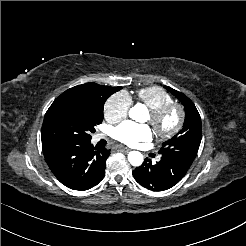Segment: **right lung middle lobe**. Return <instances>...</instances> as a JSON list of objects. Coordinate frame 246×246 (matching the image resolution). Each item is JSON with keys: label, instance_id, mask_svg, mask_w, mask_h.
I'll return each mask as SVG.
<instances>
[{"label": "right lung middle lobe", "instance_id": "1", "mask_svg": "<svg viewBox=\"0 0 246 246\" xmlns=\"http://www.w3.org/2000/svg\"><path fill=\"white\" fill-rule=\"evenodd\" d=\"M109 96L95 100L84 94L57 98L45 114L42 143L88 142L103 120V106Z\"/></svg>", "mask_w": 246, "mask_h": 246}]
</instances>
